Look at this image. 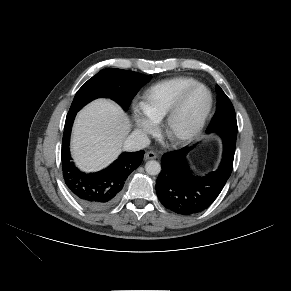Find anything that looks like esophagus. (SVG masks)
<instances>
[{
    "label": "esophagus",
    "mask_w": 291,
    "mask_h": 291,
    "mask_svg": "<svg viewBox=\"0 0 291 291\" xmlns=\"http://www.w3.org/2000/svg\"><path fill=\"white\" fill-rule=\"evenodd\" d=\"M157 158V154L153 151H148L146 152L144 159L145 160H151V159H156Z\"/></svg>",
    "instance_id": "obj_1"
}]
</instances>
